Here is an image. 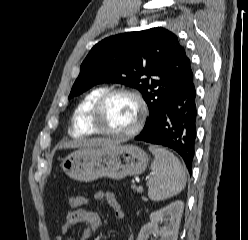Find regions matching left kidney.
Wrapping results in <instances>:
<instances>
[{
  "label": "left kidney",
  "instance_id": "left-kidney-1",
  "mask_svg": "<svg viewBox=\"0 0 248 240\" xmlns=\"http://www.w3.org/2000/svg\"><path fill=\"white\" fill-rule=\"evenodd\" d=\"M184 209L182 201H175L150 214V222L142 227L137 240H148L150 235H160L161 240H177ZM165 226L159 229V223Z\"/></svg>",
  "mask_w": 248,
  "mask_h": 240
}]
</instances>
